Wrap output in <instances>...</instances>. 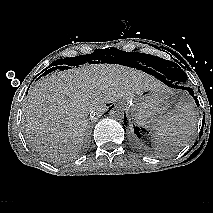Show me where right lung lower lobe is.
<instances>
[{"mask_svg": "<svg viewBox=\"0 0 213 213\" xmlns=\"http://www.w3.org/2000/svg\"><path fill=\"white\" fill-rule=\"evenodd\" d=\"M58 68H60V66H53L52 68H50L49 70H47L46 73H50V72H52L53 70H56V69H58ZM61 69H62V67H61ZM109 111H110V109H109Z\"/></svg>", "mask_w": 213, "mask_h": 213, "instance_id": "right-lung-lower-lobe-1", "label": "right lung lower lobe"}]
</instances>
